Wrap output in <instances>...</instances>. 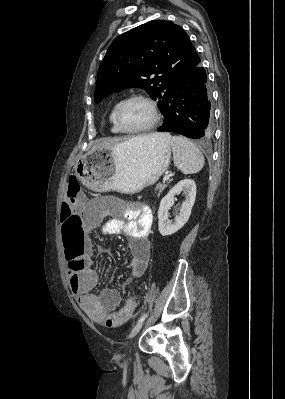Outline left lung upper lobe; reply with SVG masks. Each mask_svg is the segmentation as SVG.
Returning <instances> with one entry per match:
<instances>
[{
    "label": "left lung upper lobe",
    "instance_id": "obj_1",
    "mask_svg": "<svg viewBox=\"0 0 285 399\" xmlns=\"http://www.w3.org/2000/svg\"><path fill=\"white\" fill-rule=\"evenodd\" d=\"M184 30L171 21L152 20L117 37L99 66L95 103L112 92L143 88L164 114L176 80L199 61Z\"/></svg>",
    "mask_w": 285,
    "mask_h": 399
}]
</instances>
